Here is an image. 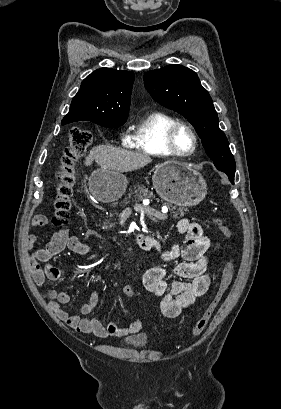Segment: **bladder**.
<instances>
[{"instance_id": "31cf9c89", "label": "bladder", "mask_w": 281, "mask_h": 409, "mask_svg": "<svg viewBox=\"0 0 281 409\" xmlns=\"http://www.w3.org/2000/svg\"><path fill=\"white\" fill-rule=\"evenodd\" d=\"M122 342L124 343V346L128 348L143 351L151 347L152 337L149 335L148 332H144L141 334L124 337L122 339Z\"/></svg>"}]
</instances>
